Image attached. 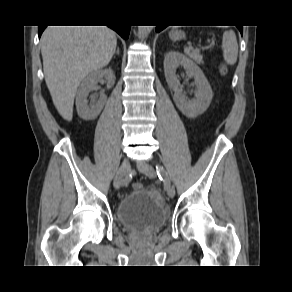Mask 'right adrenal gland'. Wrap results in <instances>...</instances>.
<instances>
[{
    "instance_id": "obj_1",
    "label": "right adrenal gland",
    "mask_w": 292,
    "mask_h": 292,
    "mask_svg": "<svg viewBox=\"0 0 292 292\" xmlns=\"http://www.w3.org/2000/svg\"><path fill=\"white\" fill-rule=\"evenodd\" d=\"M116 54L119 55V47H117Z\"/></svg>"
}]
</instances>
